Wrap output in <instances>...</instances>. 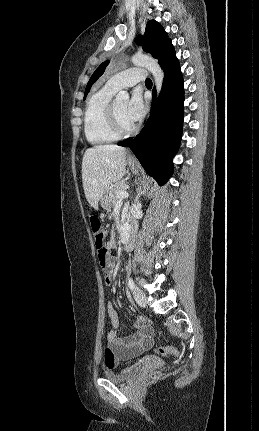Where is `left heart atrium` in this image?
Listing matches in <instances>:
<instances>
[{"label":"left heart atrium","instance_id":"39dd6f15","mask_svg":"<svg viewBox=\"0 0 259 431\" xmlns=\"http://www.w3.org/2000/svg\"><path fill=\"white\" fill-rule=\"evenodd\" d=\"M146 113V105L143 100L142 94L135 90L131 94L130 99L127 101L125 108V115L132 123L140 121Z\"/></svg>","mask_w":259,"mask_h":431}]
</instances>
